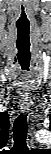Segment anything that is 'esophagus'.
I'll list each match as a JSON object with an SVG mask.
<instances>
[{
	"instance_id": "1",
	"label": "esophagus",
	"mask_w": 51,
	"mask_h": 154,
	"mask_svg": "<svg viewBox=\"0 0 51 154\" xmlns=\"http://www.w3.org/2000/svg\"><path fill=\"white\" fill-rule=\"evenodd\" d=\"M23 109V112L24 113H29L30 112V109L28 108V107H24V108H22Z\"/></svg>"
}]
</instances>
